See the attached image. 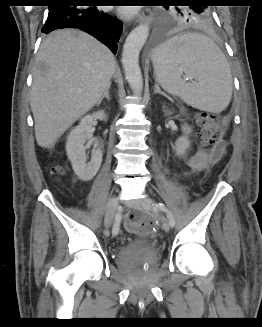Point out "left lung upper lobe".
<instances>
[{
  "label": "left lung upper lobe",
  "instance_id": "5c2ea615",
  "mask_svg": "<svg viewBox=\"0 0 262 327\" xmlns=\"http://www.w3.org/2000/svg\"><path fill=\"white\" fill-rule=\"evenodd\" d=\"M179 3L189 4V6L178 7L174 10L159 11L161 28H170L176 24L207 26L212 23V15L208 6H202L203 0H178Z\"/></svg>",
  "mask_w": 262,
  "mask_h": 327
}]
</instances>
